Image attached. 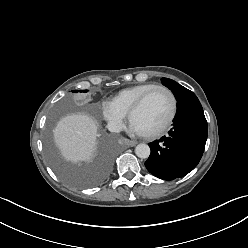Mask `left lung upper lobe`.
Instances as JSON below:
<instances>
[{
  "instance_id": "1",
  "label": "left lung upper lobe",
  "mask_w": 248,
  "mask_h": 248,
  "mask_svg": "<svg viewBox=\"0 0 248 248\" xmlns=\"http://www.w3.org/2000/svg\"><path fill=\"white\" fill-rule=\"evenodd\" d=\"M161 82L173 92L177 102L183 100L189 93H191L190 90L178 84L174 80L162 78Z\"/></svg>"
}]
</instances>
